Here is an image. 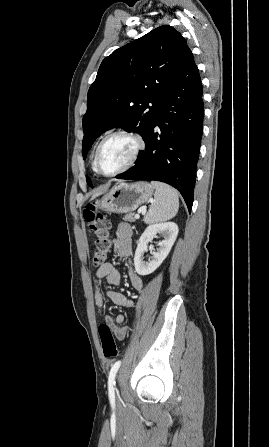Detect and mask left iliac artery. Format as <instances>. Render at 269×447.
<instances>
[{
	"label": "left iliac artery",
	"mask_w": 269,
	"mask_h": 447,
	"mask_svg": "<svg viewBox=\"0 0 269 447\" xmlns=\"http://www.w3.org/2000/svg\"><path fill=\"white\" fill-rule=\"evenodd\" d=\"M121 365V361H117L111 368L108 378L109 399L112 406H115V375Z\"/></svg>",
	"instance_id": "obj_1"
}]
</instances>
